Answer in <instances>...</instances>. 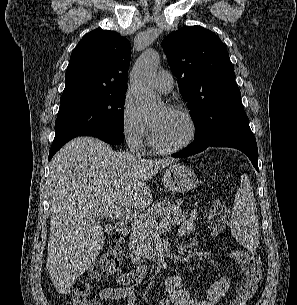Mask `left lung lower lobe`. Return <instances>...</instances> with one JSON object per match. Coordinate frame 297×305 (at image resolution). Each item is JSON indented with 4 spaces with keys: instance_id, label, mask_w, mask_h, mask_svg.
I'll use <instances>...</instances> for the list:
<instances>
[{
    "instance_id": "0a47b994",
    "label": "left lung lower lobe",
    "mask_w": 297,
    "mask_h": 305,
    "mask_svg": "<svg viewBox=\"0 0 297 305\" xmlns=\"http://www.w3.org/2000/svg\"><path fill=\"white\" fill-rule=\"evenodd\" d=\"M207 147H230L245 153L257 171L258 149L256 139L250 129L249 119L245 113H240L217 126L212 135L203 136L194 141L185 150L175 153L173 157H188L197 154Z\"/></svg>"
}]
</instances>
